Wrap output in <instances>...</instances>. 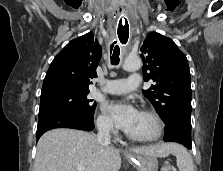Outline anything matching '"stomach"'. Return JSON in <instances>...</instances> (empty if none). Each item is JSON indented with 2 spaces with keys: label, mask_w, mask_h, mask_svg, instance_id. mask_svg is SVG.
Masks as SVG:
<instances>
[{
  "label": "stomach",
  "mask_w": 223,
  "mask_h": 171,
  "mask_svg": "<svg viewBox=\"0 0 223 171\" xmlns=\"http://www.w3.org/2000/svg\"><path fill=\"white\" fill-rule=\"evenodd\" d=\"M132 162L138 171L158 170V160L153 155L136 154L133 156Z\"/></svg>",
  "instance_id": "stomach-1"
}]
</instances>
